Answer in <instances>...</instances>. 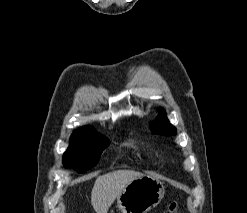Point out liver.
<instances>
[{
	"label": "liver",
	"instance_id": "liver-1",
	"mask_svg": "<svg viewBox=\"0 0 247 213\" xmlns=\"http://www.w3.org/2000/svg\"><path fill=\"white\" fill-rule=\"evenodd\" d=\"M143 176L136 171L118 170L97 177L91 192V203L96 213H107L124 187Z\"/></svg>",
	"mask_w": 247,
	"mask_h": 213
}]
</instances>
